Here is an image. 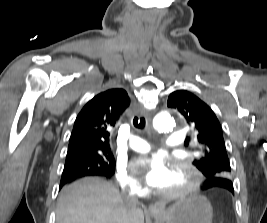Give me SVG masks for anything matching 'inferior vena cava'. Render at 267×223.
<instances>
[{"label":"inferior vena cava","instance_id":"inferior-vena-cava-1","mask_svg":"<svg viewBox=\"0 0 267 223\" xmlns=\"http://www.w3.org/2000/svg\"><path fill=\"white\" fill-rule=\"evenodd\" d=\"M124 199H125L126 203L129 205L138 204V198L136 197V195L125 194Z\"/></svg>","mask_w":267,"mask_h":223}]
</instances>
